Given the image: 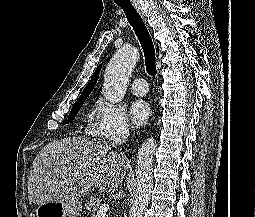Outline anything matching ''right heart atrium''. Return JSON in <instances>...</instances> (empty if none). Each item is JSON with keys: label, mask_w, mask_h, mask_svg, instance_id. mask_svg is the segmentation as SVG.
Returning a JSON list of instances; mask_svg holds the SVG:
<instances>
[{"label": "right heart atrium", "mask_w": 255, "mask_h": 217, "mask_svg": "<svg viewBox=\"0 0 255 217\" xmlns=\"http://www.w3.org/2000/svg\"><path fill=\"white\" fill-rule=\"evenodd\" d=\"M129 123L124 109L105 99L95 104L94 116L88 125V133L105 139H117L129 132Z\"/></svg>", "instance_id": "right-heart-atrium-1"}]
</instances>
